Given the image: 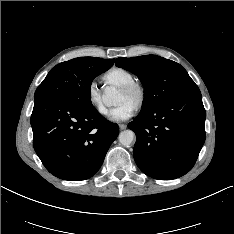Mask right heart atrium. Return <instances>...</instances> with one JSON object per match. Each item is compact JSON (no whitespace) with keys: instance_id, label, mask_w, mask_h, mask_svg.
Wrapping results in <instances>:
<instances>
[{"instance_id":"right-heart-atrium-1","label":"right heart atrium","mask_w":234,"mask_h":234,"mask_svg":"<svg viewBox=\"0 0 234 234\" xmlns=\"http://www.w3.org/2000/svg\"><path fill=\"white\" fill-rule=\"evenodd\" d=\"M87 97L91 106L100 114L106 115L108 109L105 107L98 86L95 82H91L87 88Z\"/></svg>"}]
</instances>
